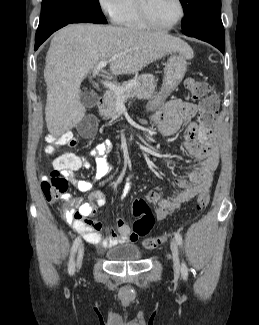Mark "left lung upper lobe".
<instances>
[{
    "instance_id": "5c2ea615",
    "label": "left lung upper lobe",
    "mask_w": 259,
    "mask_h": 325,
    "mask_svg": "<svg viewBox=\"0 0 259 325\" xmlns=\"http://www.w3.org/2000/svg\"><path fill=\"white\" fill-rule=\"evenodd\" d=\"M185 18L182 21L184 33L194 30L202 23L221 19V0H180Z\"/></svg>"
}]
</instances>
